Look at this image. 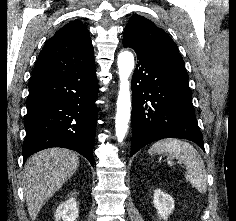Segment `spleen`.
<instances>
[{
	"instance_id": "1",
	"label": "spleen",
	"mask_w": 236,
	"mask_h": 221,
	"mask_svg": "<svg viewBox=\"0 0 236 221\" xmlns=\"http://www.w3.org/2000/svg\"><path fill=\"white\" fill-rule=\"evenodd\" d=\"M150 154H166L186 166L185 177L200 193L206 192L207 176L204 161L198 151L189 143L175 138L156 141L149 149ZM172 166L174 162L168 161Z\"/></svg>"
}]
</instances>
